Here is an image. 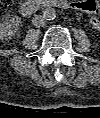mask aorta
<instances>
[{
	"mask_svg": "<svg viewBox=\"0 0 100 118\" xmlns=\"http://www.w3.org/2000/svg\"><path fill=\"white\" fill-rule=\"evenodd\" d=\"M43 16L45 17L46 20H49V21L54 20V19H56L57 12L54 8L48 7L46 9H44Z\"/></svg>",
	"mask_w": 100,
	"mask_h": 118,
	"instance_id": "1",
	"label": "aorta"
}]
</instances>
